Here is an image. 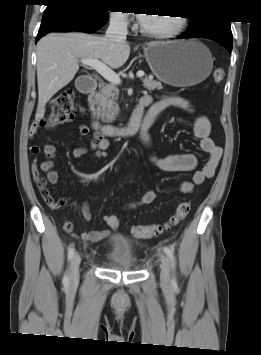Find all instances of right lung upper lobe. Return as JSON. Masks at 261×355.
<instances>
[{"instance_id": "1", "label": "right lung upper lobe", "mask_w": 261, "mask_h": 355, "mask_svg": "<svg viewBox=\"0 0 261 355\" xmlns=\"http://www.w3.org/2000/svg\"><path fill=\"white\" fill-rule=\"evenodd\" d=\"M46 1H48L47 3L51 4V3H66V2L78 3L84 0H46Z\"/></svg>"}]
</instances>
